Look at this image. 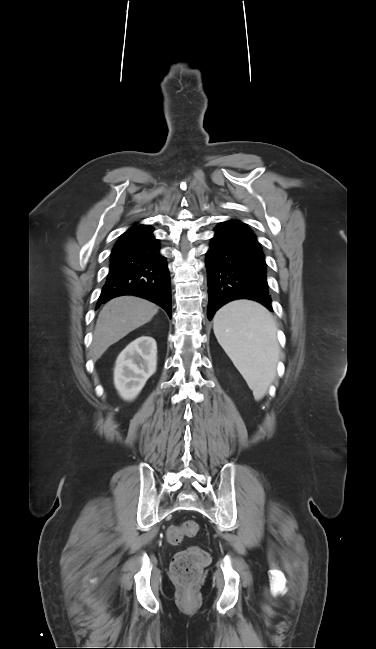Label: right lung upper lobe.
I'll list each match as a JSON object with an SVG mask.
<instances>
[{
  "instance_id": "obj_1",
  "label": "right lung upper lobe",
  "mask_w": 376,
  "mask_h": 649,
  "mask_svg": "<svg viewBox=\"0 0 376 649\" xmlns=\"http://www.w3.org/2000/svg\"><path fill=\"white\" fill-rule=\"evenodd\" d=\"M149 228H152V227L150 225H140V224L135 225V226L131 227L130 229H128L125 233H123L122 236L131 234V233H134V232H137V231L149 229Z\"/></svg>"
}]
</instances>
